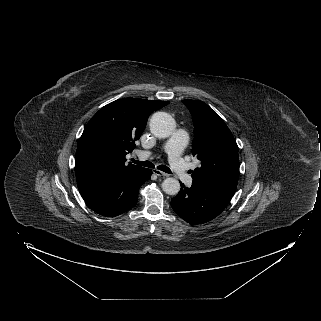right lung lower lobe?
Segmentation results:
<instances>
[{
  "instance_id": "obj_1",
  "label": "right lung lower lobe",
  "mask_w": 321,
  "mask_h": 321,
  "mask_svg": "<svg viewBox=\"0 0 321 321\" xmlns=\"http://www.w3.org/2000/svg\"><path fill=\"white\" fill-rule=\"evenodd\" d=\"M152 174L151 169L106 174L78 184L86 204L96 213L115 217L134 207L138 190Z\"/></svg>"
}]
</instances>
